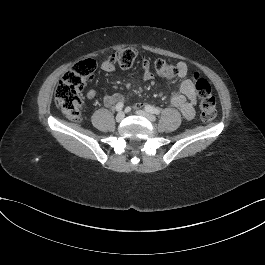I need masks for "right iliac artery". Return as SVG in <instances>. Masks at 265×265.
Listing matches in <instances>:
<instances>
[{
	"mask_svg": "<svg viewBox=\"0 0 265 265\" xmlns=\"http://www.w3.org/2000/svg\"><path fill=\"white\" fill-rule=\"evenodd\" d=\"M123 106H124L123 102H119V103L116 104L115 110L117 112H120L123 109Z\"/></svg>",
	"mask_w": 265,
	"mask_h": 265,
	"instance_id": "82829eb1",
	"label": "right iliac artery"
}]
</instances>
